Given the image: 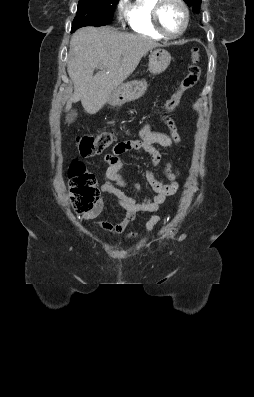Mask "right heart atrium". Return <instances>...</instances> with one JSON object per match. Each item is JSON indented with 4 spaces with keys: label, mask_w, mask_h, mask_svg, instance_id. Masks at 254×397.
<instances>
[{
    "label": "right heart atrium",
    "mask_w": 254,
    "mask_h": 397,
    "mask_svg": "<svg viewBox=\"0 0 254 397\" xmlns=\"http://www.w3.org/2000/svg\"><path fill=\"white\" fill-rule=\"evenodd\" d=\"M118 15L121 21L127 18L126 0H119L118 2Z\"/></svg>",
    "instance_id": "d8ad5b80"
}]
</instances>
